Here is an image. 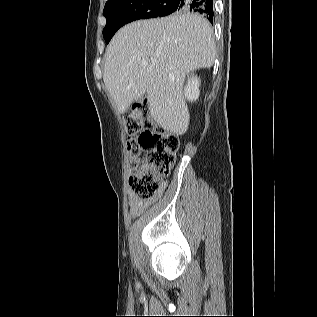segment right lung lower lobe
I'll list each match as a JSON object with an SVG mask.
<instances>
[{
	"label": "right lung lower lobe",
	"instance_id": "obj_1",
	"mask_svg": "<svg viewBox=\"0 0 317 317\" xmlns=\"http://www.w3.org/2000/svg\"><path fill=\"white\" fill-rule=\"evenodd\" d=\"M173 5L177 8L176 11L204 14L213 24V0H174Z\"/></svg>",
	"mask_w": 317,
	"mask_h": 317
}]
</instances>
